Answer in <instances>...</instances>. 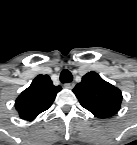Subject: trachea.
<instances>
[{
  "mask_svg": "<svg viewBox=\"0 0 137 145\" xmlns=\"http://www.w3.org/2000/svg\"><path fill=\"white\" fill-rule=\"evenodd\" d=\"M73 79V76L71 72L67 69H64L60 74V80L62 83H68L71 82Z\"/></svg>",
  "mask_w": 137,
  "mask_h": 145,
  "instance_id": "1",
  "label": "trachea"
}]
</instances>
